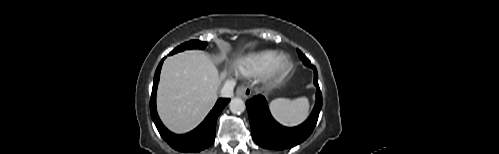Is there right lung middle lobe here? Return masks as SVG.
<instances>
[{"instance_id":"1","label":"right lung middle lobe","mask_w":499,"mask_h":154,"mask_svg":"<svg viewBox=\"0 0 499 154\" xmlns=\"http://www.w3.org/2000/svg\"><path fill=\"white\" fill-rule=\"evenodd\" d=\"M206 45H207L206 42H201L198 40H191V41L186 42V43L178 46L177 48H175L172 52H170V55L175 54V53L180 52V51H183V50H186V49H193V48L204 49L206 47Z\"/></svg>"}]
</instances>
